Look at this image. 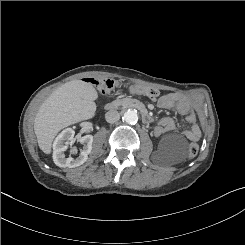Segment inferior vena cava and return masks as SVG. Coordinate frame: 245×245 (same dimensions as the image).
<instances>
[{
  "label": "inferior vena cava",
  "mask_w": 245,
  "mask_h": 245,
  "mask_svg": "<svg viewBox=\"0 0 245 245\" xmlns=\"http://www.w3.org/2000/svg\"><path fill=\"white\" fill-rule=\"evenodd\" d=\"M105 119L109 123H114L120 119V114L117 110H110L105 114Z\"/></svg>",
  "instance_id": "602c4592"
}]
</instances>
